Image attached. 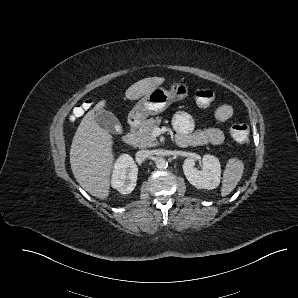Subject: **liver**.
Returning <instances> with one entry per match:
<instances>
[{
  "mask_svg": "<svg viewBox=\"0 0 298 298\" xmlns=\"http://www.w3.org/2000/svg\"><path fill=\"white\" fill-rule=\"evenodd\" d=\"M162 77L142 79L126 91L129 99H137L161 85ZM103 102L95 106L102 108ZM111 140L106 131L97 124L94 111H89L75 132L70 148V164L78 183L91 195L106 198L109 192V173L112 164Z\"/></svg>",
  "mask_w": 298,
  "mask_h": 298,
  "instance_id": "liver-1",
  "label": "liver"
}]
</instances>
